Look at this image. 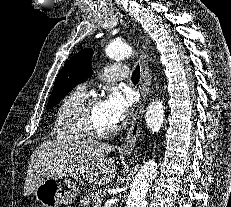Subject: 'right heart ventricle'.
I'll return each instance as SVG.
<instances>
[{
	"instance_id": "obj_1",
	"label": "right heart ventricle",
	"mask_w": 231,
	"mask_h": 207,
	"mask_svg": "<svg viewBox=\"0 0 231 207\" xmlns=\"http://www.w3.org/2000/svg\"><path fill=\"white\" fill-rule=\"evenodd\" d=\"M85 98V92L81 88H76L61 101L56 111L52 128L53 136L57 140L80 142L86 138L76 120L77 109Z\"/></svg>"
}]
</instances>
